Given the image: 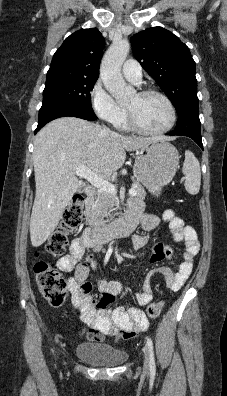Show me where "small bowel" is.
<instances>
[{
	"mask_svg": "<svg viewBox=\"0 0 227 396\" xmlns=\"http://www.w3.org/2000/svg\"><path fill=\"white\" fill-rule=\"evenodd\" d=\"M129 216L139 223L143 230L152 231L156 229L161 221L168 223L176 242L185 245L184 260L177 270L162 267L150 271L142 286V291L136 294L140 306H146L153 299V282L156 277H162L166 286L171 291H178L191 274L193 262L199 253L200 244L195 229L185 225L174 211L165 210L161 217L144 212L143 203L134 199L129 203ZM87 233V232H86ZM86 233L75 238L70 246V253L61 257L58 268L67 273L73 272L68 280L71 291V301L75 308L81 313L83 322L87 329L83 334L92 341L102 342L106 337L118 339H131L147 330L149 319L146 313L137 307H117L113 310L106 309V305L115 301L116 297L123 291L124 285L118 281H108L98 272V262L92 254H86V248L92 247L86 238ZM149 242V237L134 235L132 238L133 248L141 250ZM99 250L100 247L95 248ZM173 249L163 243H157L153 248L150 265H156L164 259H171ZM90 270L96 272V282L100 295L91 298L92 285L87 281Z\"/></svg>",
	"mask_w": 227,
	"mask_h": 396,
	"instance_id": "1",
	"label": "small bowel"
}]
</instances>
